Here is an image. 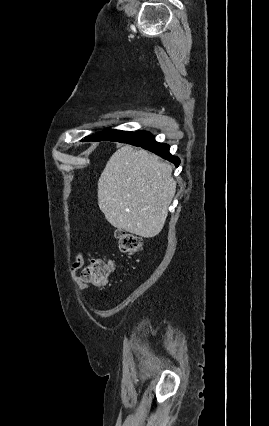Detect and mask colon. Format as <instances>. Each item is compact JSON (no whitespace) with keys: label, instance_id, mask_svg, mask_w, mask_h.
<instances>
[{"label":"colon","instance_id":"1","mask_svg":"<svg viewBox=\"0 0 269 426\" xmlns=\"http://www.w3.org/2000/svg\"><path fill=\"white\" fill-rule=\"evenodd\" d=\"M116 238L121 252L125 255H134L144 250V241L140 236L125 230H118ZM113 271L114 265L111 260L92 258L83 269L81 278L84 282L99 287L106 284Z\"/></svg>","mask_w":269,"mask_h":426}]
</instances>
